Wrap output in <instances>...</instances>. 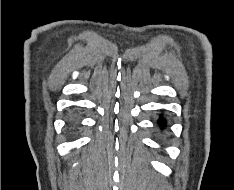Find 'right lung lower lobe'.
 Listing matches in <instances>:
<instances>
[{"mask_svg": "<svg viewBox=\"0 0 234 190\" xmlns=\"http://www.w3.org/2000/svg\"><path fill=\"white\" fill-rule=\"evenodd\" d=\"M76 118L72 117L71 119V129L74 130L76 128Z\"/></svg>", "mask_w": 234, "mask_h": 190, "instance_id": "right-lung-lower-lobe-1", "label": "right lung lower lobe"}]
</instances>
